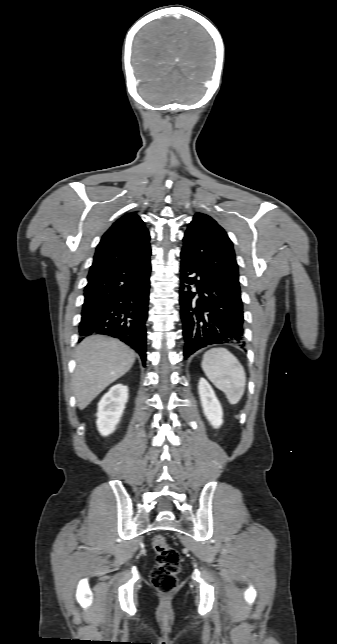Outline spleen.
Listing matches in <instances>:
<instances>
[{
  "mask_svg": "<svg viewBox=\"0 0 337 644\" xmlns=\"http://www.w3.org/2000/svg\"><path fill=\"white\" fill-rule=\"evenodd\" d=\"M202 369L216 388L224 392L228 402L237 404L242 398L246 374L238 359L225 348H215L206 352Z\"/></svg>",
  "mask_w": 337,
  "mask_h": 644,
  "instance_id": "spleen-1",
  "label": "spleen"
}]
</instances>
